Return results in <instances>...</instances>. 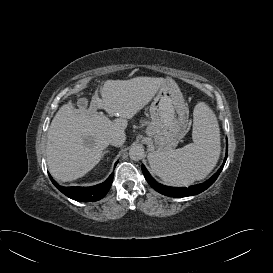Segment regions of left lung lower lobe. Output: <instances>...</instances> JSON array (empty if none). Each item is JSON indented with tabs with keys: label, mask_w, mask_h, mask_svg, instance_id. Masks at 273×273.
<instances>
[{
	"label": "left lung lower lobe",
	"mask_w": 273,
	"mask_h": 273,
	"mask_svg": "<svg viewBox=\"0 0 273 273\" xmlns=\"http://www.w3.org/2000/svg\"><path fill=\"white\" fill-rule=\"evenodd\" d=\"M227 149H226V157L224 159V162L222 164V166L219 168V170L206 182L201 183V184H197V185H193L190 186L189 188L186 187H169V186H165L162 185L158 182H156L148 173V171L146 170V168L142 165V172L144 174L145 179L147 180V182L151 185L152 188H154L156 191H158L159 193L169 196V197H188V196H193L196 194H199L201 192H203L204 190H206L207 188H209L217 179V177L219 176L220 172L222 171L224 164L226 162L227 159Z\"/></svg>",
	"instance_id": "obj_1"
}]
</instances>
